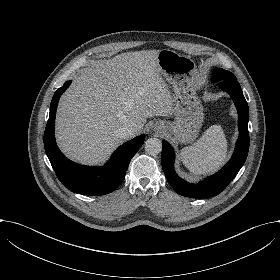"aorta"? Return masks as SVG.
<instances>
[{
  "instance_id": "1",
  "label": "aorta",
  "mask_w": 280,
  "mask_h": 280,
  "mask_svg": "<svg viewBox=\"0 0 280 280\" xmlns=\"http://www.w3.org/2000/svg\"><path fill=\"white\" fill-rule=\"evenodd\" d=\"M144 149L150 155H157L162 151V143L158 138H149L145 141Z\"/></svg>"
}]
</instances>
